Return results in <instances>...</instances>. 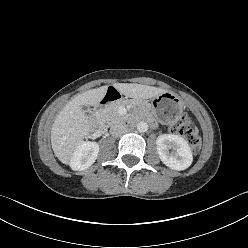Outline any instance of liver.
<instances>
[{"instance_id": "liver-1", "label": "liver", "mask_w": 248, "mask_h": 248, "mask_svg": "<svg viewBox=\"0 0 248 248\" xmlns=\"http://www.w3.org/2000/svg\"><path fill=\"white\" fill-rule=\"evenodd\" d=\"M114 87L134 100L151 99L166 92L161 88L136 83H117ZM107 90L108 86H102L75 96L56 117L51 129V144L55 156L62 163L70 164L76 149L92 131L91 121L83 106H97Z\"/></svg>"}]
</instances>
